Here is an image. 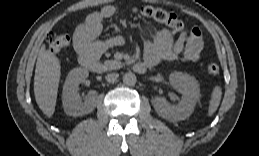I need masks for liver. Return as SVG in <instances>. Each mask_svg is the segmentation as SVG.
<instances>
[{"mask_svg": "<svg viewBox=\"0 0 259 156\" xmlns=\"http://www.w3.org/2000/svg\"><path fill=\"white\" fill-rule=\"evenodd\" d=\"M60 74L59 59L42 45L36 62L34 95L39 108L49 118L55 111Z\"/></svg>", "mask_w": 259, "mask_h": 156, "instance_id": "6515ba94", "label": "liver"}]
</instances>
